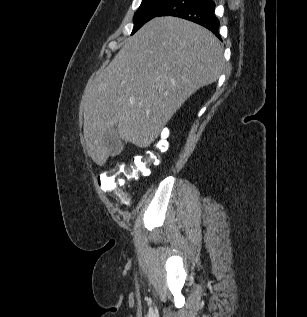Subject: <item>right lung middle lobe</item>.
I'll return each mask as SVG.
<instances>
[{
    "instance_id": "obj_1",
    "label": "right lung middle lobe",
    "mask_w": 307,
    "mask_h": 317,
    "mask_svg": "<svg viewBox=\"0 0 307 317\" xmlns=\"http://www.w3.org/2000/svg\"><path fill=\"white\" fill-rule=\"evenodd\" d=\"M173 0H142L134 14V27L132 34L140 29L146 22L158 16Z\"/></svg>"
}]
</instances>
